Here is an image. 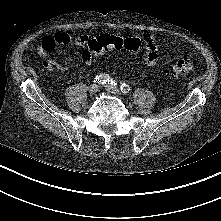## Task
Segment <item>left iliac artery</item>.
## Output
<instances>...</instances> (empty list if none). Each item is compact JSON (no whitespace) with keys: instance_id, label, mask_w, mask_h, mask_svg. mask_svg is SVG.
<instances>
[{"instance_id":"obj_1","label":"left iliac artery","mask_w":221,"mask_h":221,"mask_svg":"<svg viewBox=\"0 0 221 221\" xmlns=\"http://www.w3.org/2000/svg\"><path fill=\"white\" fill-rule=\"evenodd\" d=\"M111 84H112V85H113V84L116 85V82L113 81ZM121 91H122L123 93H128V92L130 91L129 85H127V84H125V83L121 84Z\"/></svg>"}]
</instances>
